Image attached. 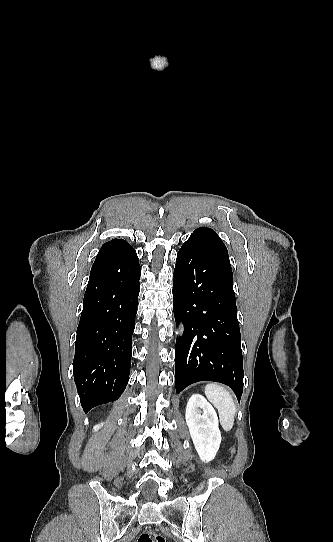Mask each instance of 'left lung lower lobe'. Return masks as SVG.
Wrapping results in <instances>:
<instances>
[{
	"mask_svg": "<svg viewBox=\"0 0 333 542\" xmlns=\"http://www.w3.org/2000/svg\"><path fill=\"white\" fill-rule=\"evenodd\" d=\"M173 309L184 324L176 340V392L199 381L243 392V356L229 259L186 241L177 254Z\"/></svg>",
	"mask_w": 333,
	"mask_h": 542,
	"instance_id": "obj_1",
	"label": "left lung lower lobe"
}]
</instances>
